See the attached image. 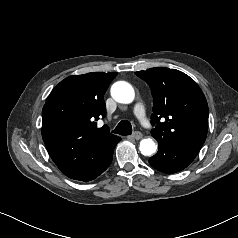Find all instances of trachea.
I'll return each instance as SVG.
<instances>
[{
    "mask_svg": "<svg viewBox=\"0 0 238 238\" xmlns=\"http://www.w3.org/2000/svg\"><path fill=\"white\" fill-rule=\"evenodd\" d=\"M113 133L120 135H131L132 134V125L127 120H122L119 122L117 127L114 129Z\"/></svg>",
    "mask_w": 238,
    "mask_h": 238,
    "instance_id": "1",
    "label": "trachea"
}]
</instances>
